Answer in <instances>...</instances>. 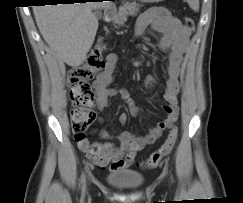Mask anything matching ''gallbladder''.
I'll return each instance as SVG.
<instances>
[{
  "mask_svg": "<svg viewBox=\"0 0 243 203\" xmlns=\"http://www.w3.org/2000/svg\"><path fill=\"white\" fill-rule=\"evenodd\" d=\"M94 15H95V17H96L97 19H101V17H102V12L99 11V10H95V11H94Z\"/></svg>",
  "mask_w": 243,
  "mask_h": 203,
  "instance_id": "obj_1",
  "label": "gallbladder"
}]
</instances>
